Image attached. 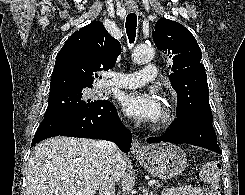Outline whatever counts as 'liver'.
<instances>
[{"label":"liver","instance_id":"liver-1","mask_svg":"<svg viewBox=\"0 0 245 195\" xmlns=\"http://www.w3.org/2000/svg\"><path fill=\"white\" fill-rule=\"evenodd\" d=\"M102 141L54 137L40 142L28 161L27 195H94L99 189L105 161ZM126 158L114 157L112 177L125 174ZM78 181L80 183H78Z\"/></svg>","mask_w":245,"mask_h":195}]
</instances>
